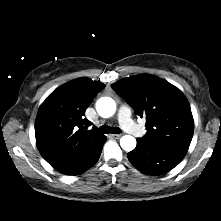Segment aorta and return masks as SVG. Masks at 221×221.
<instances>
[{
	"mask_svg": "<svg viewBox=\"0 0 221 221\" xmlns=\"http://www.w3.org/2000/svg\"><path fill=\"white\" fill-rule=\"evenodd\" d=\"M96 110L103 118L111 117L116 111V103L110 97H101L96 103ZM120 145L123 150L129 152L136 147V139L130 135H124L120 138Z\"/></svg>",
	"mask_w": 221,
	"mask_h": 221,
	"instance_id": "aorta-1",
	"label": "aorta"
}]
</instances>
